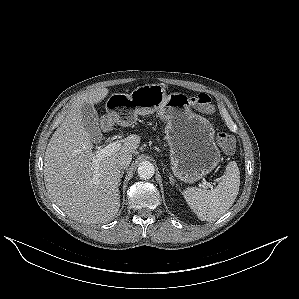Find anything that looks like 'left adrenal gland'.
<instances>
[{
  "instance_id": "a2214340",
  "label": "left adrenal gland",
  "mask_w": 299,
  "mask_h": 299,
  "mask_svg": "<svg viewBox=\"0 0 299 299\" xmlns=\"http://www.w3.org/2000/svg\"><path fill=\"white\" fill-rule=\"evenodd\" d=\"M169 180L172 185H175L176 181H175L174 177L171 175V173H169ZM176 186H177V184H176Z\"/></svg>"
}]
</instances>
